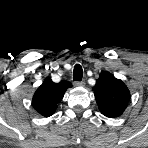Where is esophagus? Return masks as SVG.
<instances>
[{"label":"esophagus","instance_id":"esophagus-1","mask_svg":"<svg viewBox=\"0 0 148 148\" xmlns=\"http://www.w3.org/2000/svg\"><path fill=\"white\" fill-rule=\"evenodd\" d=\"M74 84L76 86H85V82L84 81H76V82H74Z\"/></svg>","mask_w":148,"mask_h":148}]
</instances>
